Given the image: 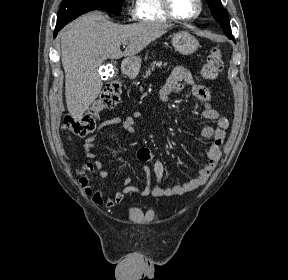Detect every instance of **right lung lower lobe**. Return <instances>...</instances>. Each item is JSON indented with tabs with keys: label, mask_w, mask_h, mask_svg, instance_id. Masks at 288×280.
Returning <instances> with one entry per match:
<instances>
[{
	"label": "right lung lower lobe",
	"mask_w": 288,
	"mask_h": 280,
	"mask_svg": "<svg viewBox=\"0 0 288 280\" xmlns=\"http://www.w3.org/2000/svg\"><path fill=\"white\" fill-rule=\"evenodd\" d=\"M94 9H97V8H88V9H84V10H81V11H78V12H73V13H70L68 14L67 16L61 18V19H57V25H56V28H55V31H54V37H56L57 33L70 21H72L73 19L77 18L78 16L84 14V13H87L91 10H94Z\"/></svg>",
	"instance_id": "obj_1"
}]
</instances>
